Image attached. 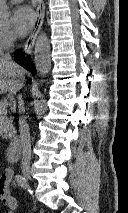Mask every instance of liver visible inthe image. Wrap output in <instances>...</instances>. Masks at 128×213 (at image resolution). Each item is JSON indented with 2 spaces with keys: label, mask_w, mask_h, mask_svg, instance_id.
I'll list each match as a JSON object with an SVG mask.
<instances>
[{
  "label": "liver",
  "mask_w": 128,
  "mask_h": 213,
  "mask_svg": "<svg viewBox=\"0 0 128 213\" xmlns=\"http://www.w3.org/2000/svg\"><path fill=\"white\" fill-rule=\"evenodd\" d=\"M24 71L19 66L13 67L0 58V94L12 92L23 85Z\"/></svg>",
  "instance_id": "1"
}]
</instances>
